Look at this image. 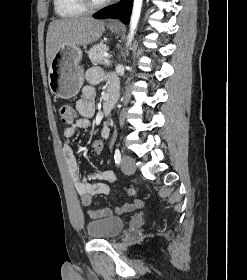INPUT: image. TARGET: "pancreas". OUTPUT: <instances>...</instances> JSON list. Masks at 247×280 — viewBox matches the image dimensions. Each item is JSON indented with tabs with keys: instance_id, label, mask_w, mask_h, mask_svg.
I'll list each match as a JSON object with an SVG mask.
<instances>
[{
	"instance_id": "1",
	"label": "pancreas",
	"mask_w": 247,
	"mask_h": 280,
	"mask_svg": "<svg viewBox=\"0 0 247 280\" xmlns=\"http://www.w3.org/2000/svg\"><path fill=\"white\" fill-rule=\"evenodd\" d=\"M107 50L108 47L105 44H98L93 46L88 54L91 63H93V65L103 64L105 59H107V57H105L103 53Z\"/></svg>"
}]
</instances>
